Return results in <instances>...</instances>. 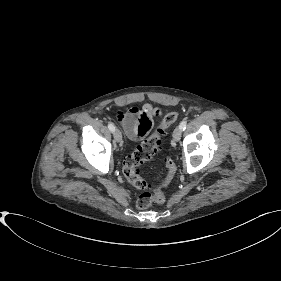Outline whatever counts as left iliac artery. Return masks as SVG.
Instances as JSON below:
<instances>
[{
	"mask_svg": "<svg viewBox=\"0 0 281 281\" xmlns=\"http://www.w3.org/2000/svg\"><path fill=\"white\" fill-rule=\"evenodd\" d=\"M186 124H187V121H186V120H183V121L180 123V125H179L180 129H181V130H185Z\"/></svg>",
	"mask_w": 281,
	"mask_h": 281,
	"instance_id": "1",
	"label": "left iliac artery"
}]
</instances>
